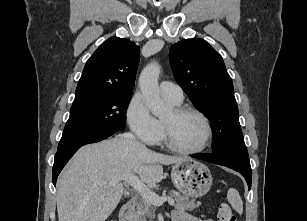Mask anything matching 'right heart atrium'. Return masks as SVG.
I'll return each instance as SVG.
<instances>
[{
	"label": "right heart atrium",
	"mask_w": 307,
	"mask_h": 221,
	"mask_svg": "<svg viewBox=\"0 0 307 221\" xmlns=\"http://www.w3.org/2000/svg\"><path fill=\"white\" fill-rule=\"evenodd\" d=\"M126 120L138 139L142 142L154 145L162 136L160 122L151 114L143 96L134 94L126 109Z\"/></svg>",
	"instance_id": "obj_1"
}]
</instances>
